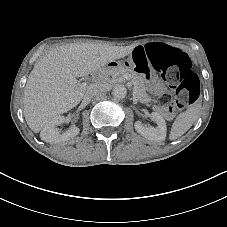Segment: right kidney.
Masks as SVG:
<instances>
[{
	"label": "right kidney",
	"instance_id": "right-kidney-1",
	"mask_svg": "<svg viewBox=\"0 0 227 227\" xmlns=\"http://www.w3.org/2000/svg\"><path fill=\"white\" fill-rule=\"evenodd\" d=\"M68 118L58 115L54 118L50 119L42 128L40 132V138L51 144H56L60 142H66L75 136H77L80 132V129L76 126H71L66 132L60 134L59 130L56 128L58 125L67 122Z\"/></svg>",
	"mask_w": 227,
	"mask_h": 227
}]
</instances>
